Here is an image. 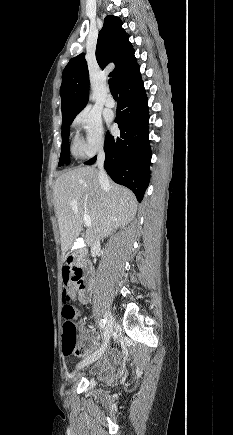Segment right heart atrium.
<instances>
[{
    "label": "right heart atrium",
    "mask_w": 233,
    "mask_h": 435,
    "mask_svg": "<svg viewBox=\"0 0 233 435\" xmlns=\"http://www.w3.org/2000/svg\"><path fill=\"white\" fill-rule=\"evenodd\" d=\"M73 125L84 132L76 141L75 151L79 156H92L103 148L105 138L102 120L94 110L85 108L80 111Z\"/></svg>",
    "instance_id": "obj_1"
}]
</instances>
